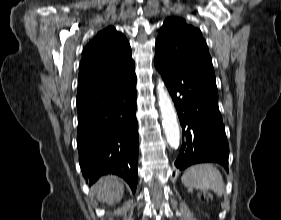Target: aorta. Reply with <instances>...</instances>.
I'll return each instance as SVG.
<instances>
[{
  "mask_svg": "<svg viewBox=\"0 0 281 220\" xmlns=\"http://www.w3.org/2000/svg\"><path fill=\"white\" fill-rule=\"evenodd\" d=\"M157 97L167 142L171 148L176 149L178 148L180 142V130L177 114L172 99L160 80L157 85Z\"/></svg>",
  "mask_w": 281,
  "mask_h": 220,
  "instance_id": "obj_1",
  "label": "aorta"
}]
</instances>
